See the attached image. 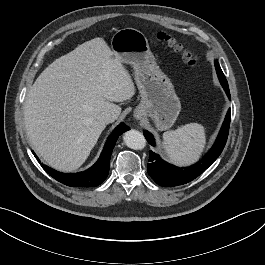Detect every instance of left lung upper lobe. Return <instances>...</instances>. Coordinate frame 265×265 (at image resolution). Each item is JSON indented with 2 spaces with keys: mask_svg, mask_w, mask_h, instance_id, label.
Returning <instances> with one entry per match:
<instances>
[{
  "mask_svg": "<svg viewBox=\"0 0 265 265\" xmlns=\"http://www.w3.org/2000/svg\"><path fill=\"white\" fill-rule=\"evenodd\" d=\"M222 74H223V72H222ZM223 76H224V74H223ZM224 79H225L226 85H228V84H227V80H226L225 76H224Z\"/></svg>",
  "mask_w": 265,
  "mask_h": 265,
  "instance_id": "obj_1",
  "label": "left lung upper lobe"
}]
</instances>
